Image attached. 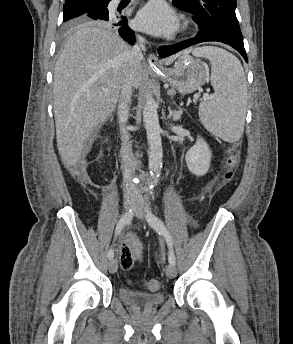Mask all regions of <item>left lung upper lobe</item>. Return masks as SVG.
<instances>
[{
    "label": "left lung upper lobe",
    "instance_id": "1",
    "mask_svg": "<svg viewBox=\"0 0 293 344\" xmlns=\"http://www.w3.org/2000/svg\"><path fill=\"white\" fill-rule=\"evenodd\" d=\"M172 4L194 14L201 30L220 31L243 41L235 14L236 0H173Z\"/></svg>",
    "mask_w": 293,
    "mask_h": 344
}]
</instances>
